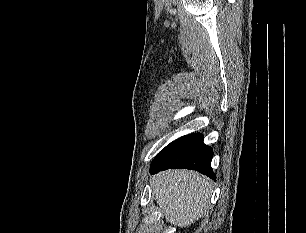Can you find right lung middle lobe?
<instances>
[{"mask_svg":"<svg viewBox=\"0 0 306 233\" xmlns=\"http://www.w3.org/2000/svg\"><path fill=\"white\" fill-rule=\"evenodd\" d=\"M169 145H170V144H169ZM169 145H168V146H169ZM168 146H166L163 150H161L160 153H159L158 155H160ZM158 155H157V156H158ZM157 156H156V157H157ZM156 157H155V158H156Z\"/></svg>","mask_w":306,"mask_h":233,"instance_id":"right-lung-middle-lobe-1","label":"right lung middle lobe"}]
</instances>
